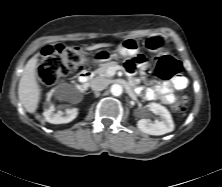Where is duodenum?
Masks as SVG:
<instances>
[{
    "label": "duodenum",
    "instance_id": "1",
    "mask_svg": "<svg viewBox=\"0 0 222 187\" xmlns=\"http://www.w3.org/2000/svg\"><path fill=\"white\" fill-rule=\"evenodd\" d=\"M92 72L91 71H88V70H86V71H83L81 74H80V76H79V81H80V83L84 86V85H86L88 82H89V80L92 78Z\"/></svg>",
    "mask_w": 222,
    "mask_h": 187
}]
</instances>
